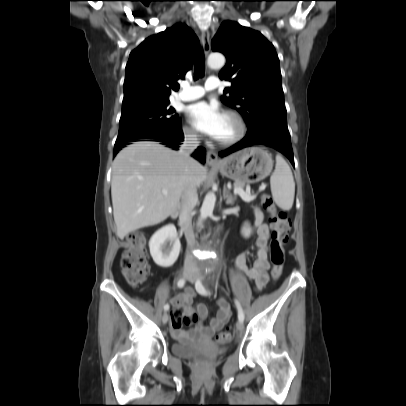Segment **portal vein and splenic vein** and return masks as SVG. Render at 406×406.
I'll list each match as a JSON object with an SVG mask.
<instances>
[{
  "mask_svg": "<svg viewBox=\"0 0 406 406\" xmlns=\"http://www.w3.org/2000/svg\"><path fill=\"white\" fill-rule=\"evenodd\" d=\"M162 193L163 194H167V190H162ZM234 193L235 194H238L239 196H241V198H243V199H245V200H250V197H249V195H248V193L247 192H245L243 189H241V188H236V189H234Z\"/></svg>",
  "mask_w": 406,
  "mask_h": 406,
  "instance_id": "18ae733b",
  "label": "portal vein and splenic vein"
}]
</instances>
